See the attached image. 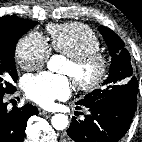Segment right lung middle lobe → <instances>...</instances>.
<instances>
[{"label": "right lung middle lobe", "instance_id": "dd1d6c3e", "mask_svg": "<svg viewBox=\"0 0 142 142\" xmlns=\"http://www.w3.org/2000/svg\"><path fill=\"white\" fill-rule=\"evenodd\" d=\"M37 24L36 21L12 17L0 18V95L12 92L10 83L17 80L14 61L15 48L20 37Z\"/></svg>", "mask_w": 142, "mask_h": 142}]
</instances>
